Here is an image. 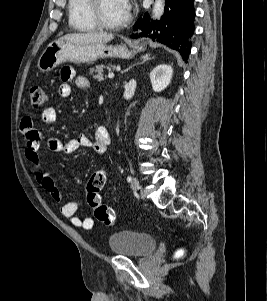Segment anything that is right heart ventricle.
<instances>
[{
	"label": "right heart ventricle",
	"mask_w": 267,
	"mask_h": 301,
	"mask_svg": "<svg viewBox=\"0 0 267 301\" xmlns=\"http://www.w3.org/2000/svg\"><path fill=\"white\" fill-rule=\"evenodd\" d=\"M68 21L78 32H94L99 28L90 15V0H68Z\"/></svg>",
	"instance_id": "obj_1"
}]
</instances>
